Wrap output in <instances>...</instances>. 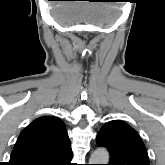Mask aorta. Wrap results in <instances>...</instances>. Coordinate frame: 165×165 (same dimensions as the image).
Returning a JSON list of instances; mask_svg holds the SVG:
<instances>
[{
	"mask_svg": "<svg viewBox=\"0 0 165 165\" xmlns=\"http://www.w3.org/2000/svg\"><path fill=\"white\" fill-rule=\"evenodd\" d=\"M89 161V164H108L109 152L105 148H98L92 153Z\"/></svg>",
	"mask_w": 165,
	"mask_h": 165,
	"instance_id": "1",
	"label": "aorta"
}]
</instances>
